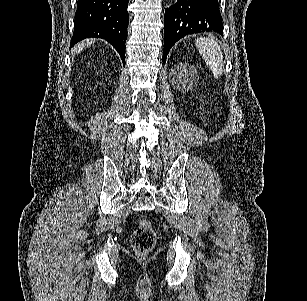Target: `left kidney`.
Masks as SVG:
<instances>
[{
	"mask_svg": "<svg viewBox=\"0 0 307 301\" xmlns=\"http://www.w3.org/2000/svg\"><path fill=\"white\" fill-rule=\"evenodd\" d=\"M172 74H174L175 84H177L181 90L182 88H190V86H194L198 80L195 66L188 64V62H181V64L174 66Z\"/></svg>",
	"mask_w": 307,
	"mask_h": 301,
	"instance_id": "1",
	"label": "left kidney"
}]
</instances>
